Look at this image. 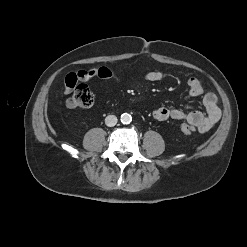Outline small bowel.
I'll list each match as a JSON object with an SVG mask.
<instances>
[{"mask_svg": "<svg viewBox=\"0 0 247 247\" xmlns=\"http://www.w3.org/2000/svg\"><path fill=\"white\" fill-rule=\"evenodd\" d=\"M114 79L118 81L116 74L106 67L97 69H82L77 72L69 73L65 78L64 92L69 94L79 82H87L92 78ZM164 78L162 71H151L145 75V79L150 82L160 81ZM188 92L190 97L196 98L203 95V104L207 113L203 114L200 111H184L178 108L159 107L153 111V117L158 121L168 119L185 121L186 123L196 127L200 133H206L219 121L221 110L219 107L218 97L212 92L204 94V89L201 82L191 77L187 81Z\"/></svg>", "mask_w": 247, "mask_h": 247, "instance_id": "small-bowel-1", "label": "small bowel"}]
</instances>
